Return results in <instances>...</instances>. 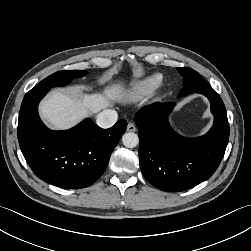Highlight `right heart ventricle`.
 <instances>
[{
    "label": "right heart ventricle",
    "instance_id": "right-heart-ventricle-1",
    "mask_svg": "<svg viewBox=\"0 0 251 251\" xmlns=\"http://www.w3.org/2000/svg\"><path fill=\"white\" fill-rule=\"evenodd\" d=\"M163 77L161 74H152L142 79L134 81L128 88V94L131 97H141L151 93L155 90L162 82Z\"/></svg>",
    "mask_w": 251,
    "mask_h": 251
}]
</instances>
